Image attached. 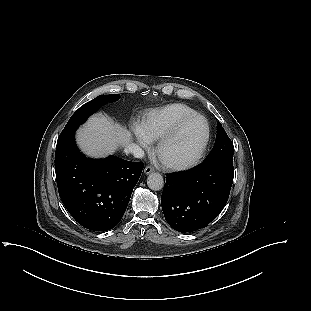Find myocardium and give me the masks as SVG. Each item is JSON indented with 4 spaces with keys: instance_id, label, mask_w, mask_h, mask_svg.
Here are the masks:
<instances>
[{
    "instance_id": "myocardium-1",
    "label": "myocardium",
    "mask_w": 311,
    "mask_h": 311,
    "mask_svg": "<svg viewBox=\"0 0 311 311\" xmlns=\"http://www.w3.org/2000/svg\"><path fill=\"white\" fill-rule=\"evenodd\" d=\"M199 118L203 121L204 123V137L203 140L198 148V150L196 151V153L189 159L187 160H183V161H172V160H168L166 158H164L163 156V150L165 148V146L171 142L180 132L181 130L184 128V126L186 124H188L190 121H192L193 119ZM209 140H210V125L208 120L206 119L205 116H203L202 114L199 113H194L191 115H188L186 117H184L183 119H181L173 128H171L168 132H166L159 140L156 146V154L160 160V162L168 169L171 170H186L189 168L194 167L196 164H198V162L200 161V159L202 158V156L204 155L207 146L209 144Z\"/></svg>"
}]
</instances>
